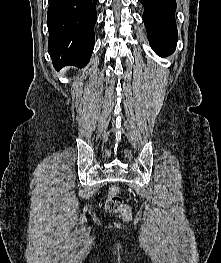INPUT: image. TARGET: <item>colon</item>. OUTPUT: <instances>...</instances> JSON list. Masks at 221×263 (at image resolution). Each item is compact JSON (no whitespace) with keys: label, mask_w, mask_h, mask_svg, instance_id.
Here are the masks:
<instances>
[{"label":"colon","mask_w":221,"mask_h":263,"mask_svg":"<svg viewBox=\"0 0 221 263\" xmlns=\"http://www.w3.org/2000/svg\"><path fill=\"white\" fill-rule=\"evenodd\" d=\"M105 209L109 213L120 214L125 218L130 216V208L123 203L118 186L113 185L109 188L105 201Z\"/></svg>","instance_id":"1"}]
</instances>
